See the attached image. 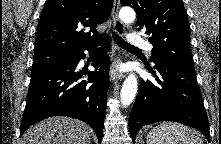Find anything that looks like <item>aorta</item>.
<instances>
[{"label": "aorta", "instance_id": "762f6f07", "mask_svg": "<svg viewBox=\"0 0 221 144\" xmlns=\"http://www.w3.org/2000/svg\"><path fill=\"white\" fill-rule=\"evenodd\" d=\"M120 19L124 23H131L135 19V11L130 7H124L119 13ZM138 88L137 78L134 74H130L124 81L120 93L121 103L126 106L134 100Z\"/></svg>", "mask_w": 221, "mask_h": 144}]
</instances>
